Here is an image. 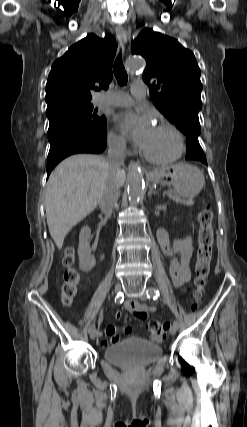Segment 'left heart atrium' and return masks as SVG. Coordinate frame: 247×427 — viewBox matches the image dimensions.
Instances as JSON below:
<instances>
[{
	"instance_id": "left-heart-atrium-1",
	"label": "left heart atrium",
	"mask_w": 247,
	"mask_h": 427,
	"mask_svg": "<svg viewBox=\"0 0 247 427\" xmlns=\"http://www.w3.org/2000/svg\"><path fill=\"white\" fill-rule=\"evenodd\" d=\"M118 126L125 135L130 137L141 148L145 146L154 129L148 117L132 112L121 114L118 117Z\"/></svg>"
}]
</instances>
